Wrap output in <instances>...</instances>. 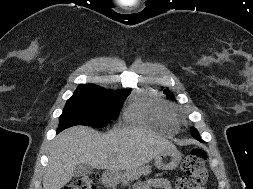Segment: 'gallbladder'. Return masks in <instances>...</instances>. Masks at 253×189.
Here are the masks:
<instances>
[{"label": "gallbladder", "instance_id": "gallbladder-1", "mask_svg": "<svg viewBox=\"0 0 253 189\" xmlns=\"http://www.w3.org/2000/svg\"><path fill=\"white\" fill-rule=\"evenodd\" d=\"M92 171V167L88 164L79 163L74 168V176L81 177Z\"/></svg>", "mask_w": 253, "mask_h": 189}]
</instances>
